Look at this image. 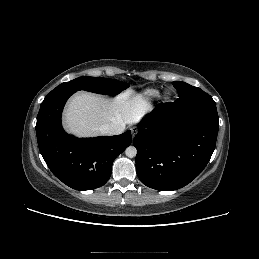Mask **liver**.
Masks as SVG:
<instances>
[{"label": "liver", "mask_w": 259, "mask_h": 259, "mask_svg": "<svg viewBox=\"0 0 259 259\" xmlns=\"http://www.w3.org/2000/svg\"><path fill=\"white\" fill-rule=\"evenodd\" d=\"M149 109L148 102L132 89L107 99L87 92L75 94L64 111V126L78 137L100 134L102 125L121 119L125 124L137 123Z\"/></svg>", "instance_id": "liver-1"}]
</instances>
